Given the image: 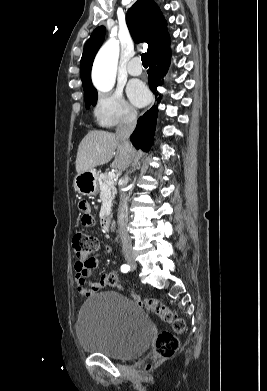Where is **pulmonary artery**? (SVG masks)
<instances>
[{
	"label": "pulmonary artery",
	"mask_w": 267,
	"mask_h": 391,
	"mask_svg": "<svg viewBox=\"0 0 267 391\" xmlns=\"http://www.w3.org/2000/svg\"><path fill=\"white\" fill-rule=\"evenodd\" d=\"M127 71L132 76H138L142 73L141 60L139 57H134L130 60Z\"/></svg>",
	"instance_id": "1"
}]
</instances>
